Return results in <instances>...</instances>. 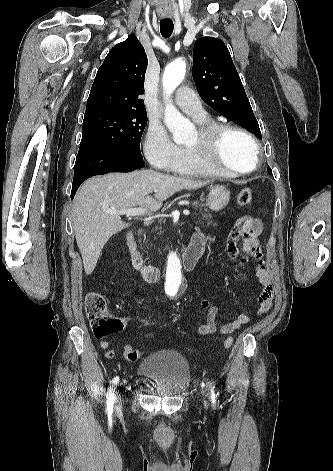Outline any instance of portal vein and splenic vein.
Listing matches in <instances>:
<instances>
[{
  "mask_svg": "<svg viewBox=\"0 0 333 471\" xmlns=\"http://www.w3.org/2000/svg\"><path fill=\"white\" fill-rule=\"evenodd\" d=\"M112 212L117 215H126V216H139V215L148 214V211L146 209L140 208V207L129 208V209H124V210H114ZM183 214L188 216L190 215V211L183 210Z\"/></svg>",
  "mask_w": 333,
  "mask_h": 471,
  "instance_id": "18ae733b",
  "label": "portal vein and splenic vein"
}]
</instances>
